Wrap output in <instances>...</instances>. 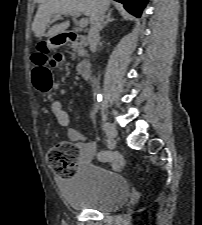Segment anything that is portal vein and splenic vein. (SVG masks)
<instances>
[{
	"mask_svg": "<svg viewBox=\"0 0 202 225\" xmlns=\"http://www.w3.org/2000/svg\"><path fill=\"white\" fill-rule=\"evenodd\" d=\"M69 15L73 16V17H79L80 16V13L77 12V11H73V12H70ZM60 14H57V15H54V19H59L60 18ZM89 21L87 18H82L80 19L79 21V26L84 28L88 25Z\"/></svg>",
	"mask_w": 202,
	"mask_h": 225,
	"instance_id": "18ae733b",
	"label": "portal vein and splenic vein"
}]
</instances>
